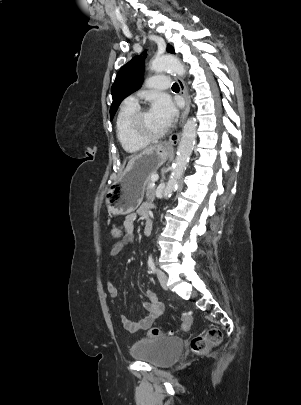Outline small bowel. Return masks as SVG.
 Returning <instances> with one entry per match:
<instances>
[{"instance_id":"1","label":"small bowel","mask_w":301,"mask_h":405,"mask_svg":"<svg viewBox=\"0 0 301 405\" xmlns=\"http://www.w3.org/2000/svg\"><path fill=\"white\" fill-rule=\"evenodd\" d=\"M151 204L146 202L143 203L135 213H129L126 215L123 223V231L119 229V234L117 237L111 236L116 242L113 244L110 255L112 257L117 256L125 245L134 241V224L138 216H141L145 220L150 217ZM107 291L114 303L118 296V289L112 282L107 283ZM143 307L145 310V315L137 320L132 321L126 315H121V322L126 330L131 333H136L140 330L149 328L153 322L161 315L163 311V306L158 300L155 292L148 289L143 294Z\"/></svg>"}]
</instances>
